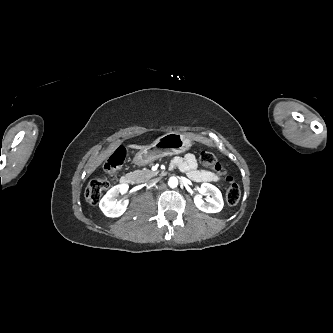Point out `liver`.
Masks as SVG:
<instances>
[{"instance_id":"1","label":"liver","mask_w":333,"mask_h":333,"mask_svg":"<svg viewBox=\"0 0 333 333\" xmlns=\"http://www.w3.org/2000/svg\"><path fill=\"white\" fill-rule=\"evenodd\" d=\"M128 147H130L132 149H140V150H142V149L146 148L147 146L131 144Z\"/></svg>"}]
</instances>
